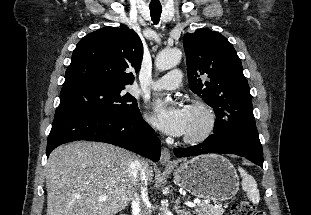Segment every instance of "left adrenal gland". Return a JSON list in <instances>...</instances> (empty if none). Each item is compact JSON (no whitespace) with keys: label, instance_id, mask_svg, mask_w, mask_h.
I'll return each mask as SVG.
<instances>
[{"label":"left adrenal gland","instance_id":"a2214340","mask_svg":"<svg viewBox=\"0 0 311 215\" xmlns=\"http://www.w3.org/2000/svg\"><path fill=\"white\" fill-rule=\"evenodd\" d=\"M180 198L177 199L176 204H175V210L178 215H191L190 211L186 210L185 208L180 209Z\"/></svg>","mask_w":311,"mask_h":215}]
</instances>
